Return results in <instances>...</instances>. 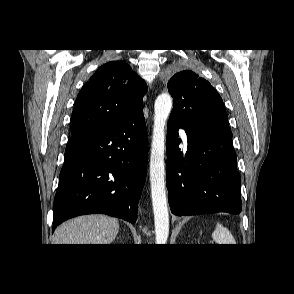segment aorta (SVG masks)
<instances>
[{
	"mask_svg": "<svg viewBox=\"0 0 294 294\" xmlns=\"http://www.w3.org/2000/svg\"><path fill=\"white\" fill-rule=\"evenodd\" d=\"M172 109V98L163 93L154 104V126L150 156V185L154 212L156 244H166L169 236V213L165 190V126Z\"/></svg>",
	"mask_w": 294,
	"mask_h": 294,
	"instance_id": "762f6f07",
	"label": "aorta"
}]
</instances>
